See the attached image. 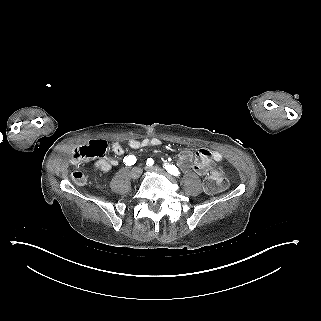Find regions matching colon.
Masks as SVG:
<instances>
[{"mask_svg": "<svg viewBox=\"0 0 321 321\" xmlns=\"http://www.w3.org/2000/svg\"><path fill=\"white\" fill-rule=\"evenodd\" d=\"M101 153L102 148L90 144L88 146H82L76 149L73 154L75 158H85L90 156H98ZM72 177L77 184L81 185L85 182V176L80 171L74 172ZM203 185L206 192L216 193L225 189V187L227 186V179L221 169H214L205 178Z\"/></svg>", "mask_w": 321, "mask_h": 321, "instance_id": "1", "label": "colon"}]
</instances>
